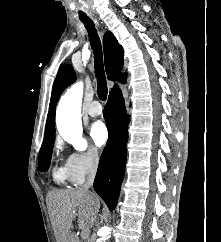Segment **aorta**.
Here are the masks:
<instances>
[{"mask_svg": "<svg viewBox=\"0 0 221 242\" xmlns=\"http://www.w3.org/2000/svg\"><path fill=\"white\" fill-rule=\"evenodd\" d=\"M83 97V83H75L61 98L56 121L60 135L68 142L74 144L79 150L86 148V142L82 139L81 104ZM111 229L107 226L99 230L100 239L104 242Z\"/></svg>", "mask_w": 221, "mask_h": 242, "instance_id": "obj_1", "label": "aorta"}]
</instances>
